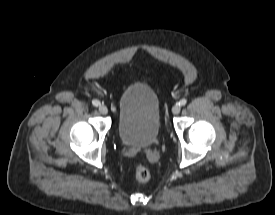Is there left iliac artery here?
Returning <instances> with one entry per match:
<instances>
[{
	"label": "left iliac artery",
	"mask_w": 275,
	"mask_h": 215,
	"mask_svg": "<svg viewBox=\"0 0 275 215\" xmlns=\"http://www.w3.org/2000/svg\"><path fill=\"white\" fill-rule=\"evenodd\" d=\"M186 103H187V100L185 99V98H183V99H181L180 101H179V105L180 106H184V105H186Z\"/></svg>",
	"instance_id": "44dca946"
}]
</instances>
